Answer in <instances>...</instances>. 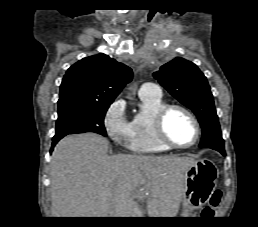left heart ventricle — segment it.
I'll use <instances>...</instances> for the list:
<instances>
[{
	"label": "left heart ventricle",
	"instance_id": "left-heart-ventricle-1",
	"mask_svg": "<svg viewBox=\"0 0 258 227\" xmlns=\"http://www.w3.org/2000/svg\"><path fill=\"white\" fill-rule=\"evenodd\" d=\"M165 127L168 136L178 144H189L195 137V128L192 121L181 111L170 112Z\"/></svg>",
	"mask_w": 258,
	"mask_h": 227
}]
</instances>
